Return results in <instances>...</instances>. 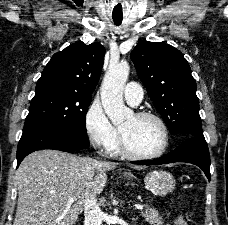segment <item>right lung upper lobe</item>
Listing matches in <instances>:
<instances>
[{"label":"right lung upper lobe","mask_w":228,"mask_h":225,"mask_svg":"<svg viewBox=\"0 0 228 225\" xmlns=\"http://www.w3.org/2000/svg\"><path fill=\"white\" fill-rule=\"evenodd\" d=\"M105 48L98 42L73 43L53 55L45 66L37 86L60 85L92 94L101 74Z\"/></svg>","instance_id":"obj_1"}]
</instances>
